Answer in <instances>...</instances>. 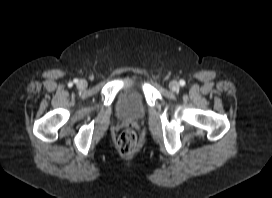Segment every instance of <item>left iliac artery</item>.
I'll list each match as a JSON object with an SVG mask.
<instances>
[{"mask_svg":"<svg viewBox=\"0 0 272 198\" xmlns=\"http://www.w3.org/2000/svg\"><path fill=\"white\" fill-rule=\"evenodd\" d=\"M180 85L184 86L185 85V81L184 80H180Z\"/></svg>","mask_w":272,"mask_h":198,"instance_id":"44dca946","label":"left iliac artery"}]
</instances>
